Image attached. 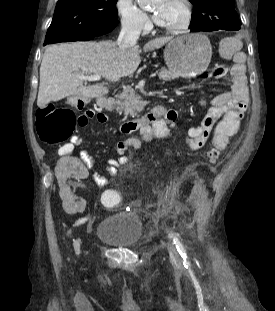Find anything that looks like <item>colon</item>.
<instances>
[{
  "instance_id": "5ec220e1",
  "label": "colon",
  "mask_w": 275,
  "mask_h": 311,
  "mask_svg": "<svg viewBox=\"0 0 275 311\" xmlns=\"http://www.w3.org/2000/svg\"><path fill=\"white\" fill-rule=\"evenodd\" d=\"M226 74L227 68L224 65H218L215 68V76L222 77ZM82 99L81 96L72 98L74 103H78ZM87 123L88 116L85 113L76 115L70 108H58L51 104L39 109L36 113L38 137L49 146L65 143L71 137L77 125L84 126ZM242 128L240 118H219L217 129L223 131L218 133L215 138L214 148L207 154L210 162H215L220 151L226 148L229 137L233 135L231 130H242ZM63 148V153L66 155L72 151L70 144L64 145ZM102 196V202L107 207H115L120 199L117 190H103Z\"/></svg>"
}]
</instances>
